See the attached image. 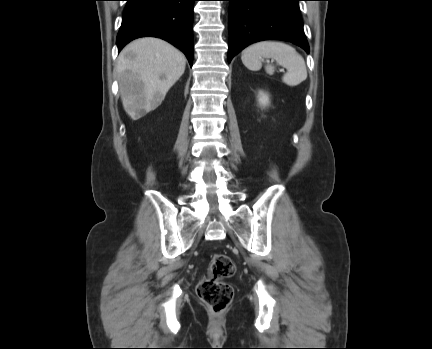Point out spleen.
<instances>
[{"label": "spleen", "instance_id": "3e777b00", "mask_svg": "<svg viewBox=\"0 0 432 349\" xmlns=\"http://www.w3.org/2000/svg\"><path fill=\"white\" fill-rule=\"evenodd\" d=\"M272 58L278 65L287 69L282 81L288 86H297L307 78V69L303 57L290 45L277 41H261L250 45L241 55L245 67L258 71L262 67L261 58ZM265 71L272 75L273 65H266Z\"/></svg>", "mask_w": 432, "mask_h": 349}]
</instances>
